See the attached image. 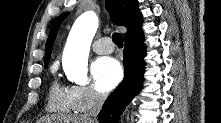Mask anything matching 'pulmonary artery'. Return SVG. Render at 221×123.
<instances>
[{"label": "pulmonary artery", "mask_w": 221, "mask_h": 123, "mask_svg": "<svg viewBox=\"0 0 221 123\" xmlns=\"http://www.w3.org/2000/svg\"><path fill=\"white\" fill-rule=\"evenodd\" d=\"M92 48L98 54H108L114 50L113 43L107 37L97 39L93 43Z\"/></svg>", "instance_id": "e3ab8cb5"}]
</instances>
